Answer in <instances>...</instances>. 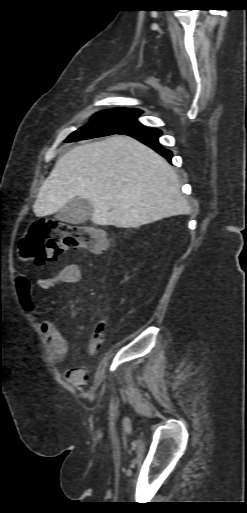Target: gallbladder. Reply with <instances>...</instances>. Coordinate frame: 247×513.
Masks as SVG:
<instances>
[{
  "label": "gallbladder",
  "instance_id": "1",
  "mask_svg": "<svg viewBox=\"0 0 247 513\" xmlns=\"http://www.w3.org/2000/svg\"><path fill=\"white\" fill-rule=\"evenodd\" d=\"M92 211L90 201L76 197L57 212L56 218L71 224H81L90 218Z\"/></svg>",
  "mask_w": 247,
  "mask_h": 513
}]
</instances>
